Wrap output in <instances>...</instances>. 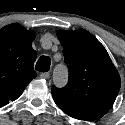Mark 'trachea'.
<instances>
[{
  "instance_id": "3493384b",
  "label": "trachea",
  "mask_w": 125,
  "mask_h": 125,
  "mask_svg": "<svg viewBox=\"0 0 125 125\" xmlns=\"http://www.w3.org/2000/svg\"><path fill=\"white\" fill-rule=\"evenodd\" d=\"M51 59L48 56H42L36 63L35 69L39 72H47L50 69Z\"/></svg>"
}]
</instances>
